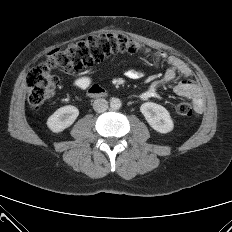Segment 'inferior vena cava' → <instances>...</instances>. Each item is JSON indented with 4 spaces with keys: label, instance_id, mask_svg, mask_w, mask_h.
<instances>
[{
    "label": "inferior vena cava",
    "instance_id": "602c4592",
    "mask_svg": "<svg viewBox=\"0 0 232 232\" xmlns=\"http://www.w3.org/2000/svg\"><path fill=\"white\" fill-rule=\"evenodd\" d=\"M108 108V102L103 98H98L93 102V109L98 113H103Z\"/></svg>",
    "mask_w": 232,
    "mask_h": 232
}]
</instances>
